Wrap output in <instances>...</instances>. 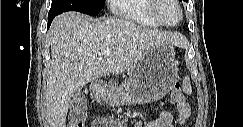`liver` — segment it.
<instances>
[{
  "label": "liver",
  "instance_id": "liver-1",
  "mask_svg": "<svg viewBox=\"0 0 243 127\" xmlns=\"http://www.w3.org/2000/svg\"><path fill=\"white\" fill-rule=\"evenodd\" d=\"M51 66L45 92L49 127H66L75 91L110 73L131 68L161 44L185 47L181 34L146 29L120 18L95 20L77 12L57 16L49 30ZM110 49L107 59L101 54Z\"/></svg>",
  "mask_w": 243,
  "mask_h": 127
}]
</instances>
